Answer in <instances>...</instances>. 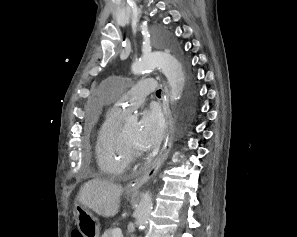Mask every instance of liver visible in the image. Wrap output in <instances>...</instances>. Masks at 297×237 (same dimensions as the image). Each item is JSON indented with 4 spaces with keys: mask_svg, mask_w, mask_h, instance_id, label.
<instances>
[{
    "mask_svg": "<svg viewBox=\"0 0 297 237\" xmlns=\"http://www.w3.org/2000/svg\"><path fill=\"white\" fill-rule=\"evenodd\" d=\"M122 191L120 185L95 178L83 185L79 202L102 217H113L118 212Z\"/></svg>",
    "mask_w": 297,
    "mask_h": 237,
    "instance_id": "1",
    "label": "liver"
}]
</instances>
